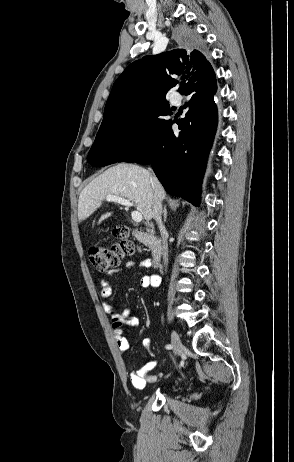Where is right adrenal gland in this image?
<instances>
[{
  "label": "right adrenal gland",
  "instance_id": "obj_1",
  "mask_svg": "<svg viewBox=\"0 0 294 462\" xmlns=\"http://www.w3.org/2000/svg\"><path fill=\"white\" fill-rule=\"evenodd\" d=\"M163 217H164V222H166V220H167V208H166V206L164 207V210H163Z\"/></svg>",
  "mask_w": 294,
  "mask_h": 462
}]
</instances>
